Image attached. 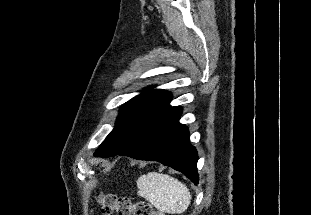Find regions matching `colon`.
I'll return each instance as SVG.
<instances>
[{"mask_svg": "<svg viewBox=\"0 0 311 215\" xmlns=\"http://www.w3.org/2000/svg\"><path fill=\"white\" fill-rule=\"evenodd\" d=\"M96 199L102 215H165L146 201L133 202L125 196L98 193Z\"/></svg>", "mask_w": 311, "mask_h": 215, "instance_id": "colon-1", "label": "colon"}]
</instances>
